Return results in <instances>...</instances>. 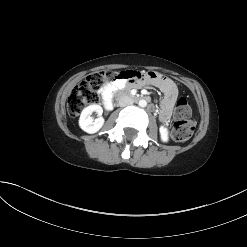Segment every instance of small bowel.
Instances as JSON below:
<instances>
[{"label":"small bowel","mask_w":247,"mask_h":247,"mask_svg":"<svg viewBox=\"0 0 247 247\" xmlns=\"http://www.w3.org/2000/svg\"><path fill=\"white\" fill-rule=\"evenodd\" d=\"M114 79L106 83L101 90L105 109H112L113 96L120 89L126 86L138 87L142 85V82H147L156 85L163 92L164 98L161 102L159 118L163 123L169 122L178 96V89L171 79L155 71H136L134 68H127L122 73H116Z\"/></svg>","instance_id":"obj_1"}]
</instances>
